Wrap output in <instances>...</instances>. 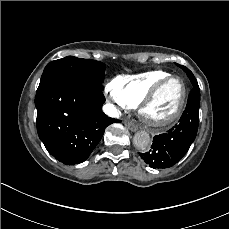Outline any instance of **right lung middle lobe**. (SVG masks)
Here are the masks:
<instances>
[{"instance_id":"dd1d6c3e","label":"right lung middle lobe","mask_w":229,"mask_h":229,"mask_svg":"<svg viewBox=\"0 0 229 229\" xmlns=\"http://www.w3.org/2000/svg\"><path fill=\"white\" fill-rule=\"evenodd\" d=\"M105 64L90 59L67 56L47 64L42 74L37 93L58 80L78 79L102 87Z\"/></svg>"}]
</instances>
